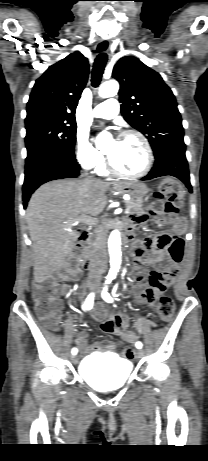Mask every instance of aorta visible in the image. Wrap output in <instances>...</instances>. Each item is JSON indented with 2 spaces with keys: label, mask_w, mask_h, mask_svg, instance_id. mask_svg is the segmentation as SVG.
I'll return each mask as SVG.
<instances>
[{
  "label": "aorta",
  "mask_w": 208,
  "mask_h": 461,
  "mask_svg": "<svg viewBox=\"0 0 208 461\" xmlns=\"http://www.w3.org/2000/svg\"><path fill=\"white\" fill-rule=\"evenodd\" d=\"M119 90V84L115 80L104 82L98 91L101 98L114 97ZM109 135L106 132L100 133L96 140L95 145L97 148H102L107 141ZM108 249L110 256V270L107 275L108 281L113 280L119 272L122 262L121 252V236L118 230H113L108 239Z\"/></svg>",
  "instance_id": "aorta-1"
}]
</instances>
